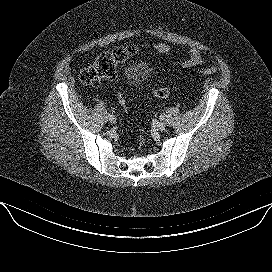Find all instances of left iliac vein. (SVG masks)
I'll use <instances>...</instances> for the list:
<instances>
[{
  "label": "left iliac vein",
  "instance_id": "left-iliac-vein-1",
  "mask_svg": "<svg viewBox=\"0 0 272 272\" xmlns=\"http://www.w3.org/2000/svg\"><path fill=\"white\" fill-rule=\"evenodd\" d=\"M156 128L159 131H164L166 129V124L164 122H157Z\"/></svg>",
  "mask_w": 272,
  "mask_h": 272
}]
</instances>
